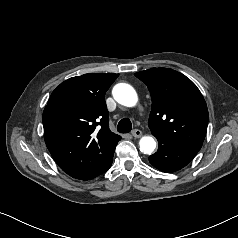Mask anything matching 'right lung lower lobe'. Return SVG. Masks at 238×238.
I'll use <instances>...</instances> for the list:
<instances>
[{
	"instance_id": "obj_1",
	"label": "right lung lower lobe",
	"mask_w": 238,
	"mask_h": 238,
	"mask_svg": "<svg viewBox=\"0 0 238 238\" xmlns=\"http://www.w3.org/2000/svg\"><path fill=\"white\" fill-rule=\"evenodd\" d=\"M114 154V153H113ZM112 161H113V155L105 162V164L103 165L104 167H103V171H102V173L103 172H105V171H107L109 168H110V166H111V164H112ZM101 173V174H102Z\"/></svg>"
}]
</instances>
